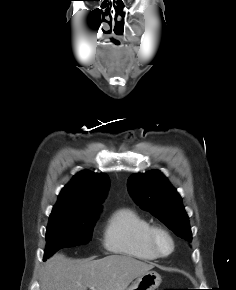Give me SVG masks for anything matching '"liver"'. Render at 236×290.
Masks as SVG:
<instances>
[{
	"label": "liver",
	"instance_id": "obj_1",
	"mask_svg": "<svg viewBox=\"0 0 236 290\" xmlns=\"http://www.w3.org/2000/svg\"><path fill=\"white\" fill-rule=\"evenodd\" d=\"M153 267V264L123 255L92 260L55 254L42 270L41 290H126L135 278Z\"/></svg>",
	"mask_w": 236,
	"mask_h": 290
}]
</instances>
